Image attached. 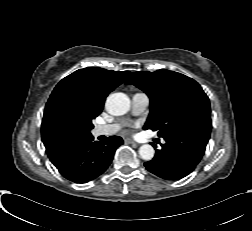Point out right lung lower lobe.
Returning a JSON list of instances; mask_svg holds the SVG:
<instances>
[{"label":"right lung lower lobe","mask_w":252,"mask_h":231,"mask_svg":"<svg viewBox=\"0 0 252 231\" xmlns=\"http://www.w3.org/2000/svg\"><path fill=\"white\" fill-rule=\"evenodd\" d=\"M123 140L109 137L105 143L94 141L87 135L65 146L60 158L53 164L63 177L75 183H86L101 175L112 162L114 153Z\"/></svg>","instance_id":"obj_1"}]
</instances>
